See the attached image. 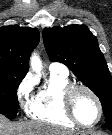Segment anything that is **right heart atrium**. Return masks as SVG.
<instances>
[{
	"label": "right heart atrium",
	"mask_w": 112,
	"mask_h": 135,
	"mask_svg": "<svg viewBox=\"0 0 112 135\" xmlns=\"http://www.w3.org/2000/svg\"><path fill=\"white\" fill-rule=\"evenodd\" d=\"M34 87L35 81L30 75L25 76L17 87L16 90L17 100L24 110L27 109L32 99Z\"/></svg>",
	"instance_id": "d8ad5b80"
}]
</instances>
